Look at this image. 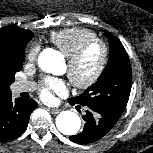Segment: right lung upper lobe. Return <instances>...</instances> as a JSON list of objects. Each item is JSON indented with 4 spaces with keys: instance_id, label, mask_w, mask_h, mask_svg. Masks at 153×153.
Instances as JSON below:
<instances>
[{
    "instance_id": "obj_1",
    "label": "right lung upper lobe",
    "mask_w": 153,
    "mask_h": 153,
    "mask_svg": "<svg viewBox=\"0 0 153 153\" xmlns=\"http://www.w3.org/2000/svg\"><path fill=\"white\" fill-rule=\"evenodd\" d=\"M32 37V32L17 26L0 28V56L25 52V47ZM9 93V86L0 82V97Z\"/></svg>"
}]
</instances>
